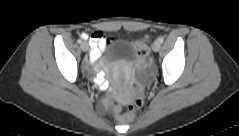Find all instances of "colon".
<instances>
[{
  "label": "colon",
  "instance_id": "1",
  "mask_svg": "<svg viewBox=\"0 0 239 136\" xmlns=\"http://www.w3.org/2000/svg\"><path fill=\"white\" fill-rule=\"evenodd\" d=\"M136 48L138 51V55L141 58H145L147 55V51L145 48V42L144 41H138L136 43ZM135 87V85L133 86ZM142 106V98L140 95H135L132 99L130 104L127 107L126 112L122 113L121 108L116 107L115 111L117 113V119L122 122H127L133 119L134 114L141 108Z\"/></svg>",
  "mask_w": 239,
  "mask_h": 136
}]
</instances>
